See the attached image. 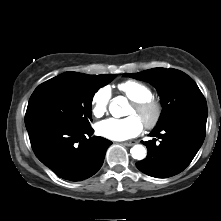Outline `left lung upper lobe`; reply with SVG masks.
<instances>
[{
	"label": "left lung upper lobe",
	"instance_id": "1",
	"mask_svg": "<svg viewBox=\"0 0 221 221\" xmlns=\"http://www.w3.org/2000/svg\"><path fill=\"white\" fill-rule=\"evenodd\" d=\"M125 76L151 83L160 94L163 110L155 128L188 112L207 111L206 100L197 84L182 71L153 68Z\"/></svg>",
	"mask_w": 221,
	"mask_h": 221
}]
</instances>
